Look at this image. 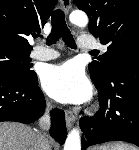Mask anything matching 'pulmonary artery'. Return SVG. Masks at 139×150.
Here are the masks:
<instances>
[{
	"mask_svg": "<svg viewBox=\"0 0 139 150\" xmlns=\"http://www.w3.org/2000/svg\"><path fill=\"white\" fill-rule=\"evenodd\" d=\"M78 47L81 50H106V48L103 45H101L97 40L90 36H81L78 41ZM32 57L37 60L47 61L57 58L58 53L51 48L37 47L32 52Z\"/></svg>",
	"mask_w": 139,
	"mask_h": 150,
	"instance_id": "obj_1",
	"label": "pulmonary artery"
}]
</instances>
